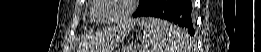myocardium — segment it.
Here are the masks:
<instances>
[{
    "label": "myocardium",
    "instance_id": "f54148a6",
    "mask_svg": "<svg viewBox=\"0 0 261 52\" xmlns=\"http://www.w3.org/2000/svg\"><path fill=\"white\" fill-rule=\"evenodd\" d=\"M96 8L92 11V18L95 22H98L100 24L104 25H110V24H116L118 22H121L125 19H127L134 11V6L136 4V0H125V9L124 11L115 19L110 21H103L98 19L97 14L98 11L103 7L104 2L103 0H95Z\"/></svg>",
    "mask_w": 261,
    "mask_h": 52
}]
</instances>
